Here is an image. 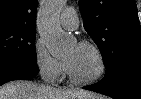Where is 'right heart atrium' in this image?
Returning <instances> with one entry per match:
<instances>
[{
    "instance_id": "right-heart-atrium-1",
    "label": "right heart atrium",
    "mask_w": 141,
    "mask_h": 99,
    "mask_svg": "<svg viewBox=\"0 0 141 99\" xmlns=\"http://www.w3.org/2000/svg\"><path fill=\"white\" fill-rule=\"evenodd\" d=\"M33 58L38 73L48 83L57 82L65 72L64 62L53 57L40 39L34 43Z\"/></svg>"
}]
</instances>
